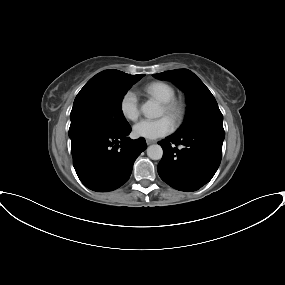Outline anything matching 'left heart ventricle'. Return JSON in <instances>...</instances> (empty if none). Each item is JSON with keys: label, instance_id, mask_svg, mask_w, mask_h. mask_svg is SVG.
I'll return each mask as SVG.
<instances>
[{"label": "left heart ventricle", "instance_id": "left-heart-ventricle-1", "mask_svg": "<svg viewBox=\"0 0 285 285\" xmlns=\"http://www.w3.org/2000/svg\"><path fill=\"white\" fill-rule=\"evenodd\" d=\"M162 114H165V110H164V108H162Z\"/></svg>", "mask_w": 285, "mask_h": 285}]
</instances>
